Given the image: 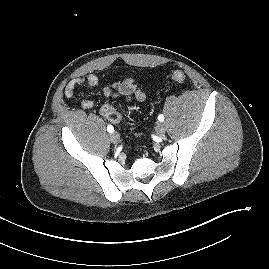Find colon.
Instances as JSON below:
<instances>
[{
    "label": "colon",
    "mask_w": 269,
    "mask_h": 269,
    "mask_svg": "<svg viewBox=\"0 0 269 269\" xmlns=\"http://www.w3.org/2000/svg\"><path fill=\"white\" fill-rule=\"evenodd\" d=\"M171 78L175 82L183 83L185 81V74L181 70H175L171 73ZM106 117L114 123H118L121 120V116L114 108L109 104H105Z\"/></svg>",
    "instance_id": "5ec220e1"
}]
</instances>
